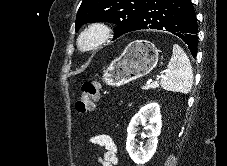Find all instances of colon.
I'll use <instances>...</instances> for the list:
<instances>
[{"label": "colon", "mask_w": 227, "mask_h": 166, "mask_svg": "<svg viewBox=\"0 0 227 166\" xmlns=\"http://www.w3.org/2000/svg\"><path fill=\"white\" fill-rule=\"evenodd\" d=\"M100 96V85L96 81H87L81 87V93L76 101V110L79 114H86L95 108Z\"/></svg>", "instance_id": "5ec220e1"}]
</instances>
